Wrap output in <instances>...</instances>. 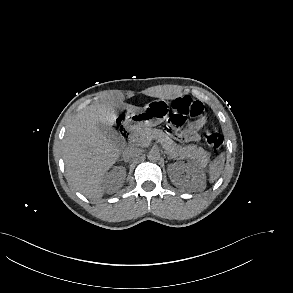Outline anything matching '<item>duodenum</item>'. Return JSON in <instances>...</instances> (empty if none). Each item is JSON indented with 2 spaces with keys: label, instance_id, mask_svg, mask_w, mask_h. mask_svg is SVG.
<instances>
[{
  "label": "duodenum",
  "instance_id": "duodenum-1",
  "mask_svg": "<svg viewBox=\"0 0 293 293\" xmlns=\"http://www.w3.org/2000/svg\"><path fill=\"white\" fill-rule=\"evenodd\" d=\"M132 131H133L132 125H125L120 129V135L126 144L129 143V139H130V135Z\"/></svg>",
  "mask_w": 293,
  "mask_h": 293
}]
</instances>
